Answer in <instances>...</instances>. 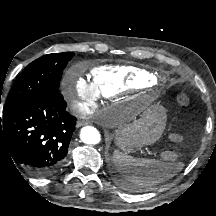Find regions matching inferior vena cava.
I'll return each instance as SVG.
<instances>
[{"mask_svg": "<svg viewBox=\"0 0 216 216\" xmlns=\"http://www.w3.org/2000/svg\"><path fill=\"white\" fill-rule=\"evenodd\" d=\"M79 108H80V106H79L78 104H74V105H73V109H74V110H77V109H79Z\"/></svg>", "mask_w": 216, "mask_h": 216, "instance_id": "602c4592", "label": "inferior vena cava"}]
</instances>
